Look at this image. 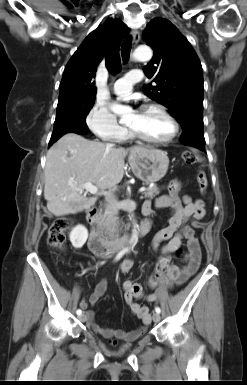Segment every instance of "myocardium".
<instances>
[{"instance_id":"f54148a6","label":"myocardium","mask_w":247,"mask_h":385,"mask_svg":"<svg viewBox=\"0 0 247 385\" xmlns=\"http://www.w3.org/2000/svg\"><path fill=\"white\" fill-rule=\"evenodd\" d=\"M140 110H142V111H149V110L159 111L170 122V124L172 126V132L167 138H164V139H150V138L143 136L142 134L137 132L134 128L129 126V132L132 135V137H134V138H136L142 142L152 144V145L168 144V143L172 142L177 137V135L179 133V124H178L177 120L174 118V116L164 106H162L160 104H146V105H143Z\"/></svg>"}]
</instances>
